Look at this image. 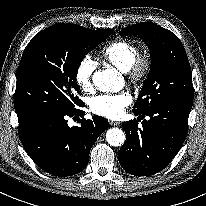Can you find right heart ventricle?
Masks as SVG:
<instances>
[{
  "label": "right heart ventricle",
  "instance_id": "1",
  "mask_svg": "<svg viewBox=\"0 0 206 206\" xmlns=\"http://www.w3.org/2000/svg\"><path fill=\"white\" fill-rule=\"evenodd\" d=\"M138 53V46L135 42L117 39L108 43L102 50V58L117 70L125 73Z\"/></svg>",
  "mask_w": 206,
  "mask_h": 206
}]
</instances>
